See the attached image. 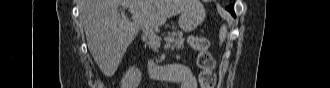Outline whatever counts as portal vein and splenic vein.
<instances>
[{"label": "portal vein and splenic vein", "instance_id": "obj_1", "mask_svg": "<svg viewBox=\"0 0 330 88\" xmlns=\"http://www.w3.org/2000/svg\"><path fill=\"white\" fill-rule=\"evenodd\" d=\"M130 12L133 15L135 22L142 29L143 33L148 37V39L154 45H156L157 47H160V38L157 36V34L154 32V30L149 26V24L145 21L142 13L138 10H133V9H130ZM172 41L173 40L169 39L164 47L170 48Z\"/></svg>", "mask_w": 330, "mask_h": 88}]
</instances>
